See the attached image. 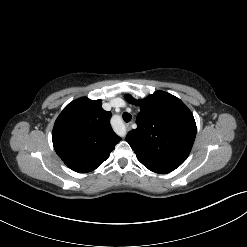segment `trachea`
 Instances as JSON below:
<instances>
[{"label": "trachea", "instance_id": "3493384b", "mask_svg": "<svg viewBox=\"0 0 247 247\" xmlns=\"http://www.w3.org/2000/svg\"><path fill=\"white\" fill-rule=\"evenodd\" d=\"M123 119L125 122H129L132 119V116H131V114L124 112L123 113Z\"/></svg>", "mask_w": 247, "mask_h": 247}]
</instances>
